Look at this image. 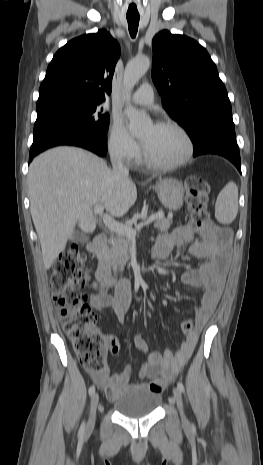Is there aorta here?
I'll return each instance as SVG.
<instances>
[{
    "label": "aorta",
    "mask_w": 263,
    "mask_h": 465,
    "mask_svg": "<svg viewBox=\"0 0 263 465\" xmlns=\"http://www.w3.org/2000/svg\"><path fill=\"white\" fill-rule=\"evenodd\" d=\"M150 67V59L147 56L135 58L128 62L124 73V99L126 101L125 114L129 119V130L133 134L144 131L150 124V118L134 108L129 100L133 87Z\"/></svg>",
    "instance_id": "obj_1"
}]
</instances>
